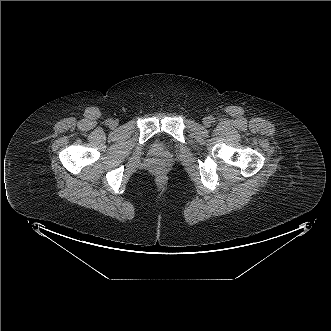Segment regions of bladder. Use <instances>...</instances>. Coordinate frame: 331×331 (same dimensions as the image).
<instances>
[{
    "instance_id": "31cf9c89",
    "label": "bladder",
    "mask_w": 331,
    "mask_h": 331,
    "mask_svg": "<svg viewBox=\"0 0 331 331\" xmlns=\"http://www.w3.org/2000/svg\"><path fill=\"white\" fill-rule=\"evenodd\" d=\"M155 148H156L157 150H160V149H162L163 147H162V145L157 144Z\"/></svg>"
}]
</instances>
